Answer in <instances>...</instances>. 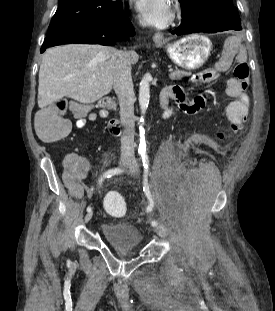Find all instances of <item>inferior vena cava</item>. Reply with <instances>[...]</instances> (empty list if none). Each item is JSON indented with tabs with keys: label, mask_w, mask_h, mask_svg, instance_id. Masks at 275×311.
I'll return each instance as SVG.
<instances>
[{
	"label": "inferior vena cava",
	"mask_w": 275,
	"mask_h": 311,
	"mask_svg": "<svg viewBox=\"0 0 275 311\" xmlns=\"http://www.w3.org/2000/svg\"><path fill=\"white\" fill-rule=\"evenodd\" d=\"M114 72L113 88L119 100L120 119L124 127L121 136V158L134 160V101L129 52L115 50L111 55Z\"/></svg>",
	"instance_id": "1"
}]
</instances>
